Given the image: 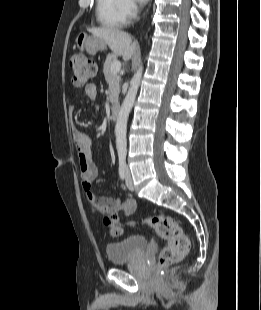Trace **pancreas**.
I'll return each mask as SVG.
<instances>
[{"label": "pancreas", "mask_w": 261, "mask_h": 310, "mask_svg": "<svg viewBox=\"0 0 261 310\" xmlns=\"http://www.w3.org/2000/svg\"><path fill=\"white\" fill-rule=\"evenodd\" d=\"M116 60H117L116 55L109 54L103 66L105 80L109 86L110 91L109 99L110 102L113 104L118 102L120 92V82H121V77L118 75V73L111 72V65Z\"/></svg>", "instance_id": "obj_1"}]
</instances>
